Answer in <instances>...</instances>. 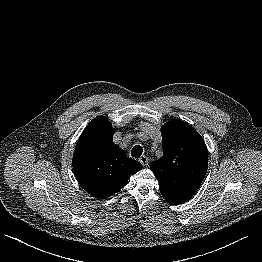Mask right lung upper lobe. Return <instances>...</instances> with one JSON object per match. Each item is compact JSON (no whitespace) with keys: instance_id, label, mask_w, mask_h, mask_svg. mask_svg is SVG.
Here are the masks:
<instances>
[{"instance_id":"cb5924a9","label":"right lung upper lobe","mask_w":262,"mask_h":262,"mask_svg":"<svg viewBox=\"0 0 262 262\" xmlns=\"http://www.w3.org/2000/svg\"><path fill=\"white\" fill-rule=\"evenodd\" d=\"M114 128L104 116L93 119L78 139L73 170L82 188L96 198H108L127 184L142 165L113 142Z\"/></svg>"}]
</instances>
